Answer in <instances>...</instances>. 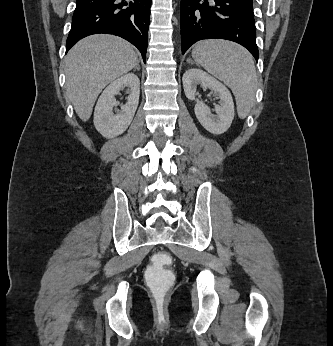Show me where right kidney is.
Listing matches in <instances>:
<instances>
[{
  "label": "right kidney",
  "instance_id": "ca27d5eb",
  "mask_svg": "<svg viewBox=\"0 0 333 346\" xmlns=\"http://www.w3.org/2000/svg\"><path fill=\"white\" fill-rule=\"evenodd\" d=\"M126 88L128 101L121 105V111L113 113V108L119 105L115 95ZM140 80L133 74L122 75L113 81L101 94L94 111L96 130L106 138L122 134L130 125L139 103Z\"/></svg>",
  "mask_w": 333,
  "mask_h": 346
}]
</instances>
